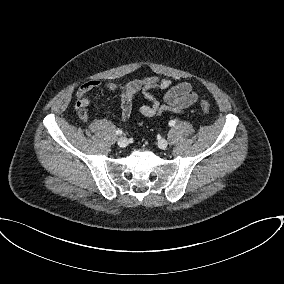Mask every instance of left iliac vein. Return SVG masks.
<instances>
[{"instance_id": "obj_1", "label": "left iliac vein", "mask_w": 284, "mask_h": 284, "mask_svg": "<svg viewBox=\"0 0 284 284\" xmlns=\"http://www.w3.org/2000/svg\"><path fill=\"white\" fill-rule=\"evenodd\" d=\"M167 146H168V142H167L166 139H160V140L158 141V147H159L160 149H166Z\"/></svg>"}]
</instances>
